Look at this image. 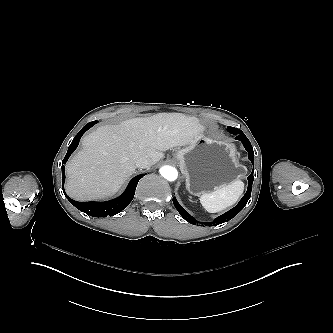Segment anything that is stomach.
<instances>
[{
  "label": "stomach",
  "instance_id": "obj_1",
  "mask_svg": "<svg viewBox=\"0 0 333 333\" xmlns=\"http://www.w3.org/2000/svg\"><path fill=\"white\" fill-rule=\"evenodd\" d=\"M174 159L190 194L200 196L242 178L246 170L233 144L215 141L206 134L198 142L175 150Z\"/></svg>",
  "mask_w": 333,
  "mask_h": 333
}]
</instances>
